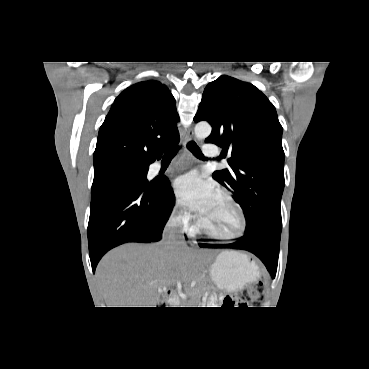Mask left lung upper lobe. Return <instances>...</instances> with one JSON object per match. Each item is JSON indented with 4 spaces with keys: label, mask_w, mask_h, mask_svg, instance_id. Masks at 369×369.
I'll list each match as a JSON object with an SVG mask.
<instances>
[{
    "label": "left lung upper lobe",
    "mask_w": 369,
    "mask_h": 369,
    "mask_svg": "<svg viewBox=\"0 0 369 369\" xmlns=\"http://www.w3.org/2000/svg\"><path fill=\"white\" fill-rule=\"evenodd\" d=\"M204 120L212 126L205 142L223 148L230 166L212 176L244 211L245 235L281 230L284 151L273 104L254 85L222 75L204 90L194 121Z\"/></svg>",
    "instance_id": "obj_1"
}]
</instances>
